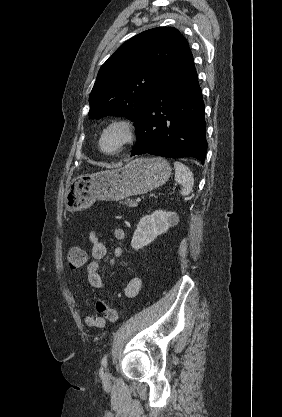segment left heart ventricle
<instances>
[{
  "mask_svg": "<svg viewBox=\"0 0 282 417\" xmlns=\"http://www.w3.org/2000/svg\"><path fill=\"white\" fill-rule=\"evenodd\" d=\"M120 136L118 133H110L106 135L102 141V146L105 150L111 151L119 141Z\"/></svg>",
  "mask_w": 282,
  "mask_h": 417,
  "instance_id": "left-heart-ventricle-1",
  "label": "left heart ventricle"
}]
</instances>
